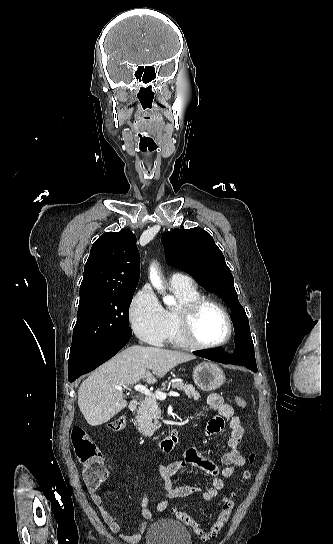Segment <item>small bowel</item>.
Returning a JSON list of instances; mask_svg holds the SVG:
<instances>
[{
	"mask_svg": "<svg viewBox=\"0 0 333 544\" xmlns=\"http://www.w3.org/2000/svg\"><path fill=\"white\" fill-rule=\"evenodd\" d=\"M206 407L216 411L217 415L209 420L206 427V435L212 436L223 430L225 423H228L230 436L227 442V450L222 455L221 461L225 465L220 469L218 465L211 459L204 456L196 447H188L183 454V458L168 464L156 463L155 468L158 470L160 477L163 480L164 498L157 507V512L167 510L172 501L189 497L195 493H201L206 501L216 499L220 491L224 488L225 483L223 478H230L234 475L236 468L242 467L245 464V457L239 450L240 443L244 436V428L238 416L235 415L231 405L226 403L222 396L218 393H211L206 402ZM189 467H195L206 474L213 477L211 486L202 489L197 485L183 484L174 485L172 477L183 472ZM91 498L98 507L104 521L108 524L110 530L118 534L124 541L128 543H137L142 534L147 528V523L152 519V512L148 508V497L145 494L141 500V513L143 521L139 524L138 532L132 535L122 531L118 518L108 510L103 503L102 496L98 490H90Z\"/></svg>",
	"mask_w": 333,
	"mask_h": 544,
	"instance_id": "1",
	"label": "small bowel"
}]
</instances>
